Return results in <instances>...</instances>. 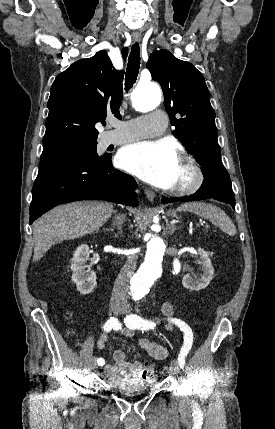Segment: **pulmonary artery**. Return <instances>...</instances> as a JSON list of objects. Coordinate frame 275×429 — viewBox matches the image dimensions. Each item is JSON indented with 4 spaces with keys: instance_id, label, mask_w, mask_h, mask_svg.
Segmentation results:
<instances>
[{
    "instance_id": "obj_1",
    "label": "pulmonary artery",
    "mask_w": 275,
    "mask_h": 429,
    "mask_svg": "<svg viewBox=\"0 0 275 429\" xmlns=\"http://www.w3.org/2000/svg\"><path fill=\"white\" fill-rule=\"evenodd\" d=\"M165 126V113L154 111L145 116L117 123V129L106 135L105 143L106 145H115L145 137L158 136L164 131Z\"/></svg>"
}]
</instances>
